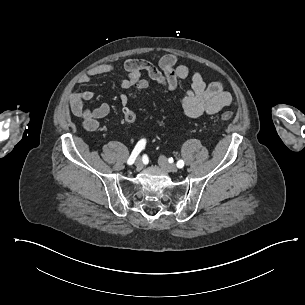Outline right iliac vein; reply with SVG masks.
I'll return each mask as SVG.
<instances>
[{
    "label": "right iliac vein",
    "mask_w": 305,
    "mask_h": 305,
    "mask_svg": "<svg viewBox=\"0 0 305 305\" xmlns=\"http://www.w3.org/2000/svg\"><path fill=\"white\" fill-rule=\"evenodd\" d=\"M135 166H136L137 169H141L143 167V162L140 158L136 159Z\"/></svg>",
    "instance_id": "right-iliac-vein-1"
}]
</instances>
